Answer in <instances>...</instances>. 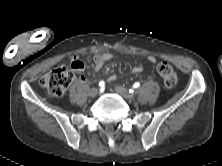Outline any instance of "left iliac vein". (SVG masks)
Listing matches in <instances>:
<instances>
[{"label": "left iliac vein", "instance_id": "obj_1", "mask_svg": "<svg viewBox=\"0 0 222 166\" xmlns=\"http://www.w3.org/2000/svg\"><path fill=\"white\" fill-rule=\"evenodd\" d=\"M115 90L118 94L123 96L125 99L131 100L133 95L123 86H116Z\"/></svg>", "mask_w": 222, "mask_h": 166}]
</instances>
